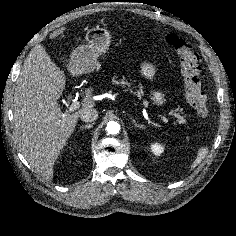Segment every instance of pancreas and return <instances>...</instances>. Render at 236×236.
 <instances>
[{"label": "pancreas", "mask_w": 236, "mask_h": 236, "mask_svg": "<svg viewBox=\"0 0 236 236\" xmlns=\"http://www.w3.org/2000/svg\"><path fill=\"white\" fill-rule=\"evenodd\" d=\"M112 83H113V84H119V85H121L122 87H124L125 85H127L128 87L131 86V83L128 82L127 80H124V79H117V78H115V77L112 79ZM135 93H136V95H137L139 98H141L142 95H143L142 89L137 90ZM177 111H178V112H177ZM181 114H183L182 109L177 108V109H176V112L174 113V116H175L176 118H178V122H179V123H183V124H184V123H186V120L184 119V116H181Z\"/></svg>", "instance_id": "cf45deb5"}]
</instances>
